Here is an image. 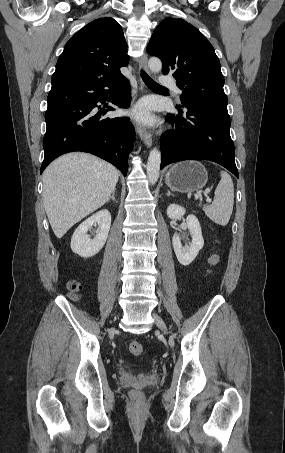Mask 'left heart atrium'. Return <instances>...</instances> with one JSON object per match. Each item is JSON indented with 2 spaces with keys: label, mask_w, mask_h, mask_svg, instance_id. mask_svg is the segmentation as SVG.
<instances>
[{
  "label": "left heart atrium",
  "mask_w": 285,
  "mask_h": 453,
  "mask_svg": "<svg viewBox=\"0 0 285 453\" xmlns=\"http://www.w3.org/2000/svg\"><path fill=\"white\" fill-rule=\"evenodd\" d=\"M131 115L140 122L153 124L155 119L152 115L151 104L148 101H141L131 111Z\"/></svg>",
  "instance_id": "1"
}]
</instances>
